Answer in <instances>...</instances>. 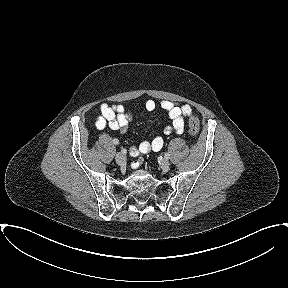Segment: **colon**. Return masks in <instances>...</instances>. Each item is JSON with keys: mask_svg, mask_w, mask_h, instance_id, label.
Here are the masks:
<instances>
[{"mask_svg": "<svg viewBox=\"0 0 288 288\" xmlns=\"http://www.w3.org/2000/svg\"><path fill=\"white\" fill-rule=\"evenodd\" d=\"M188 130L192 136H197L200 131V122L197 117L192 116L188 121Z\"/></svg>", "mask_w": 288, "mask_h": 288, "instance_id": "obj_1", "label": "colon"}]
</instances>
